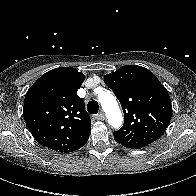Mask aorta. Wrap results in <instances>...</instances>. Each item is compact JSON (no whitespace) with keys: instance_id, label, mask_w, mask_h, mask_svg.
I'll use <instances>...</instances> for the list:
<instances>
[{"instance_id":"1","label":"aorta","mask_w":196,"mask_h":196,"mask_svg":"<svg viewBox=\"0 0 196 196\" xmlns=\"http://www.w3.org/2000/svg\"><path fill=\"white\" fill-rule=\"evenodd\" d=\"M102 109L106 113L110 125L117 128L121 125L123 118L116 98L108 91H102L98 96Z\"/></svg>"}]
</instances>
